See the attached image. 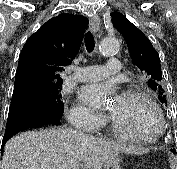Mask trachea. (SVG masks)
Wrapping results in <instances>:
<instances>
[{
    "label": "trachea",
    "mask_w": 177,
    "mask_h": 169,
    "mask_svg": "<svg viewBox=\"0 0 177 169\" xmlns=\"http://www.w3.org/2000/svg\"><path fill=\"white\" fill-rule=\"evenodd\" d=\"M85 45L88 53H91L95 47V39L91 32H87L85 36Z\"/></svg>",
    "instance_id": "1"
}]
</instances>
